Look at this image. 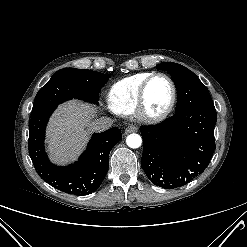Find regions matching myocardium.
I'll list each match as a JSON object with an SVG mask.
<instances>
[{"label": "myocardium", "instance_id": "1", "mask_svg": "<svg viewBox=\"0 0 247 247\" xmlns=\"http://www.w3.org/2000/svg\"><path fill=\"white\" fill-rule=\"evenodd\" d=\"M157 77H163L168 80V82L170 83L171 89H172V97H171L169 105L167 106L165 110H163L160 113L153 114L147 111L146 93H147V89L151 81ZM176 101H177V87L173 79L165 73L156 72V73L151 74L141 85L139 93H138L135 114L139 120L145 123H151V124L158 123V122L163 121L170 115V113L173 111L175 107Z\"/></svg>", "mask_w": 247, "mask_h": 247}]
</instances>
